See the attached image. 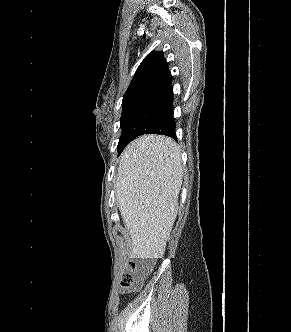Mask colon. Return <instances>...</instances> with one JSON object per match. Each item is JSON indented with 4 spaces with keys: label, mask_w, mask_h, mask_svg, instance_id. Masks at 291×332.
Segmentation results:
<instances>
[{
    "label": "colon",
    "mask_w": 291,
    "mask_h": 332,
    "mask_svg": "<svg viewBox=\"0 0 291 332\" xmlns=\"http://www.w3.org/2000/svg\"><path fill=\"white\" fill-rule=\"evenodd\" d=\"M149 271L148 263L131 262L127 271L121 279V286L124 290L130 291L137 289Z\"/></svg>",
    "instance_id": "1"
}]
</instances>
